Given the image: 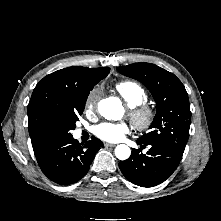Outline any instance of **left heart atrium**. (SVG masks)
<instances>
[{
    "instance_id": "1",
    "label": "left heart atrium",
    "mask_w": 221,
    "mask_h": 221,
    "mask_svg": "<svg viewBox=\"0 0 221 221\" xmlns=\"http://www.w3.org/2000/svg\"><path fill=\"white\" fill-rule=\"evenodd\" d=\"M129 128L125 123L104 122L95 126L94 134L101 140L107 142H118L123 139Z\"/></svg>"
}]
</instances>
